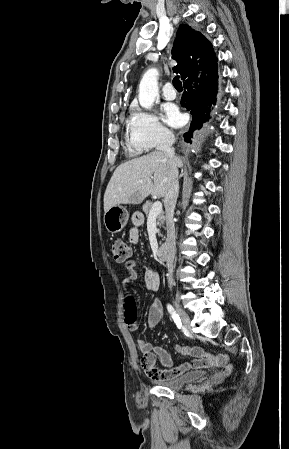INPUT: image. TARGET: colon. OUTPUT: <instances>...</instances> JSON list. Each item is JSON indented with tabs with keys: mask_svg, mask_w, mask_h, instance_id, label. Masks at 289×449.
Wrapping results in <instances>:
<instances>
[{
	"mask_svg": "<svg viewBox=\"0 0 289 449\" xmlns=\"http://www.w3.org/2000/svg\"><path fill=\"white\" fill-rule=\"evenodd\" d=\"M112 253L115 261L122 263L127 261L131 256V248L128 243L123 240H116L112 244ZM125 308L127 310V320L134 319V310H137V301H126Z\"/></svg>",
	"mask_w": 289,
	"mask_h": 449,
	"instance_id": "colon-1",
	"label": "colon"
}]
</instances>
